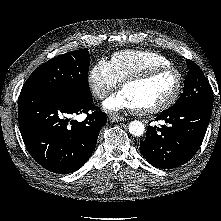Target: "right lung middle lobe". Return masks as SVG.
<instances>
[{
    "mask_svg": "<svg viewBox=\"0 0 221 221\" xmlns=\"http://www.w3.org/2000/svg\"><path fill=\"white\" fill-rule=\"evenodd\" d=\"M89 64L87 49L52 58L30 75L21 92L44 89L69 93L82 100L92 99L87 78Z\"/></svg>",
    "mask_w": 221,
    "mask_h": 221,
    "instance_id": "obj_1",
    "label": "right lung middle lobe"
}]
</instances>
